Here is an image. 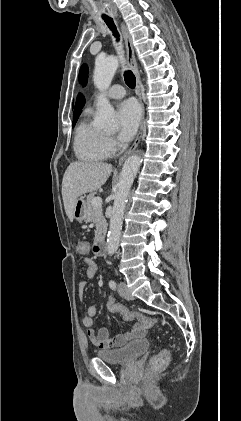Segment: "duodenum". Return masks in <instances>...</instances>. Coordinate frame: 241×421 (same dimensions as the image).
I'll use <instances>...</instances> for the list:
<instances>
[{
  "mask_svg": "<svg viewBox=\"0 0 241 421\" xmlns=\"http://www.w3.org/2000/svg\"><path fill=\"white\" fill-rule=\"evenodd\" d=\"M93 250H94V252L97 255H99V256L103 255L105 253V251H106V241H105V238H103V237L99 238L95 242V244L93 246Z\"/></svg>",
  "mask_w": 241,
  "mask_h": 421,
  "instance_id": "obj_1",
  "label": "duodenum"
}]
</instances>
